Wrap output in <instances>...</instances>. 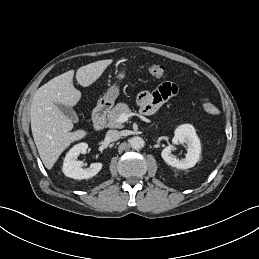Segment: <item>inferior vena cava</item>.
I'll use <instances>...</instances> for the list:
<instances>
[{
	"instance_id": "602c4592",
	"label": "inferior vena cava",
	"mask_w": 259,
	"mask_h": 259,
	"mask_svg": "<svg viewBox=\"0 0 259 259\" xmlns=\"http://www.w3.org/2000/svg\"><path fill=\"white\" fill-rule=\"evenodd\" d=\"M121 137V133L118 130H109L106 133V139L109 141H116Z\"/></svg>"
}]
</instances>
